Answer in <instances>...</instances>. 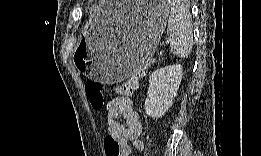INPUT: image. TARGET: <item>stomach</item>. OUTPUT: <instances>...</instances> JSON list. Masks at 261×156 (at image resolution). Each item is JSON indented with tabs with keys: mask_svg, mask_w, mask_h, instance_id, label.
Wrapping results in <instances>:
<instances>
[{
	"mask_svg": "<svg viewBox=\"0 0 261 156\" xmlns=\"http://www.w3.org/2000/svg\"><path fill=\"white\" fill-rule=\"evenodd\" d=\"M116 7L117 2L107 3ZM127 17L93 16L75 54L77 67L102 83L130 77L154 55L169 18L165 2L139 1Z\"/></svg>",
	"mask_w": 261,
	"mask_h": 156,
	"instance_id": "obj_1",
	"label": "stomach"
}]
</instances>
